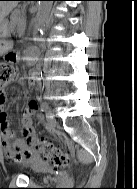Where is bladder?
Segmentation results:
<instances>
[{
	"label": "bladder",
	"mask_w": 137,
	"mask_h": 189,
	"mask_svg": "<svg viewBox=\"0 0 137 189\" xmlns=\"http://www.w3.org/2000/svg\"><path fill=\"white\" fill-rule=\"evenodd\" d=\"M35 164L36 166L34 168V171L37 174H47L51 171V166L44 161H41Z\"/></svg>",
	"instance_id": "obj_1"
}]
</instances>
